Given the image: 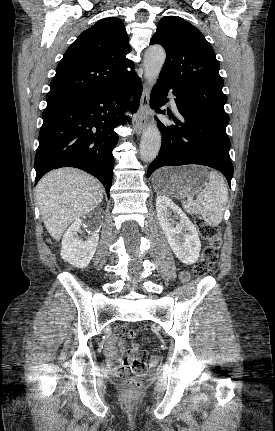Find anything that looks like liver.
Instances as JSON below:
<instances>
[{
	"instance_id": "6515ba94",
	"label": "liver",
	"mask_w": 275,
	"mask_h": 431,
	"mask_svg": "<svg viewBox=\"0 0 275 431\" xmlns=\"http://www.w3.org/2000/svg\"><path fill=\"white\" fill-rule=\"evenodd\" d=\"M36 198L48 233L59 240L70 223L101 203L103 190L88 173L61 168L49 172L38 182Z\"/></svg>"
}]
</instances>
